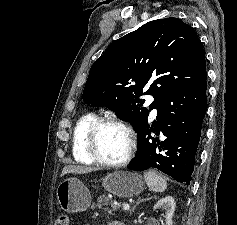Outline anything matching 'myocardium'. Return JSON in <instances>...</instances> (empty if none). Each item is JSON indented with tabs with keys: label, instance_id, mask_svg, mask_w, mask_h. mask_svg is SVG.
<instances>
[{
	"label": "myocardium",
	"instance_id": "myocardium-1",
	"mask_svg": "<svg viewBox=\"0 0 237 225\" xmlns=\"http://www.w3.org/2000/svg\"><path fill=\"white\" fill-rule=\"evenodd\" d=\"M106 125H114L118 126L121 129L125 131V133L128 136L129 140V147L128 151L123 159L120 161H108L104 158L99 153L98 150V144H97V137L100 129ZM137 146V139L134 130L130 125H128L126 122L119 120L117 118L113 117H102L98 118L89 128L88 133H87V138H86V147L88 154L91 156V158L99 163L100 165L106 166V167H111V168H120L124 167L127 165L130 160L132 159L135 150Z\"/></svg>",
	"mask_w": 237,
	"mask_h": 225
}]
</instances>
